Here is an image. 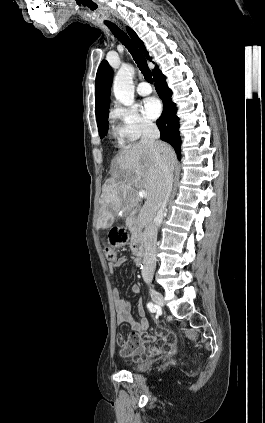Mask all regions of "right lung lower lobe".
Returning <instances> with one entry per match:
<instances>
[{"instance_id": "1", "label": "right lung lower lobe", "mask_w": 265, "mask_h": 423, "mask_svg": "<svg viewBox=\"0 0 265 423\" xmlns=\"http://www.w3.org/2000/svg\"><path fill=\"white\" fill-rule=\"evenodd\" d=\"M153 79L155 81V88L163 100V112L156 124L161 133V140L168 142L174 148L177 157L181 158L180 146L181 139L179 133V118L176 116V104L172 102V91L166 84V77L157 68L153 72Z\"/></svg>"}]
</instances>
